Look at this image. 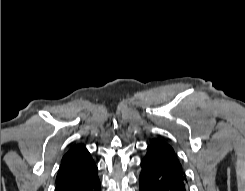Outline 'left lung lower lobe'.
<instances>
[{
  "label": "left lung lower lobe",
  "mask_w": 245,
  "mask_h": 191,
  "mask_svg": "<svg viewBox=\"0 0 245 191\" xmlns=\"http://www.w3.org/2000/svg\"><path fill=\"white\" fill-rule=\"evenodd\" d=\"M140 191H188L184 169L177 158L147 148L141 161Z\"/></svg>",
  "instance_id": "1"
}]
</instances>
